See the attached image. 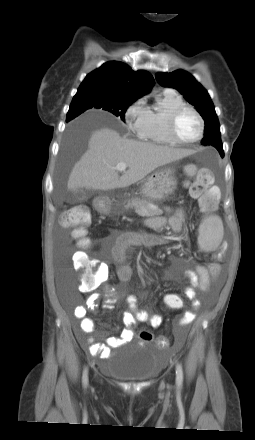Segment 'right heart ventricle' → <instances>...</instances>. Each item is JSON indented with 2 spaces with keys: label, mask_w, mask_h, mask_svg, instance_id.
Instances as JSON below:
<instances>
[{
  "label": "right heart ventricle",
  "mask_w": 255,
  "mask_h": 440,
  "mask_svg": "<svg viewBox=\"0 0 255 440\" xmlns=\"http://www.w3.org/2000/svg\"><path fill=\"white\" fill-rule=\"evenodd\" d=\"M185 105L182 96L173 90L166 89L158 97L154 109H148L145 128L140 138L155 144L174 145L168 130L167 121L169 114L176 108Z\"/></svg>",
  "instance_id": "obj_1"
}]
</instances>
